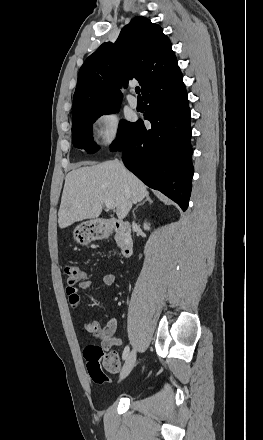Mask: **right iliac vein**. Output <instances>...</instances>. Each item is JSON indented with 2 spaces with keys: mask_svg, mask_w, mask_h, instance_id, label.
I'll return each instance as SVG.
<instances>
[{
  "mask_svg": "<svg viewBox=\"0 0 263 440\" xmlns=\"http://www.w3.org/2000/svg\"><path fill=\"white\" fill-rule=\"evenodd\" d=\"M136 356H137V354H136V350L135 349H133L129 353V355L127 356L126 361H125L124 366H123V369H122V371L120 373V379L121 380L126 378L129 375V373L131 372V370L133 369V367L135 365V362H136Z\"/></svg>",
  "mask_w": 263,
  "mask_h": 440,
  "instance_id": "1",
  "label": "right iliac vein"
}]
</instances>
